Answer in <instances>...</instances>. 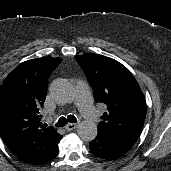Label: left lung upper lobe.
<instances>
[{"label": "left lung upper lobe", "mask_w": 171, "mask_h": 171, "mask_svg": "<svg viewBox=\"0 0 171 171\" xmlns=\"http://www.w3.org/2000/svg\"><path fill=\"white\" fill-rule=\"evenodd\" d=\"M92 86L95 101L107 111L98 132L132 147L145 121V97L131 72L118 61L96 54L75 56Z\"/></svg>", "instance_id": "obj_1"}]
</instances>
